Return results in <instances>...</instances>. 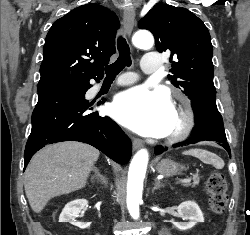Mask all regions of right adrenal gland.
<instances>
[{"mask_svg":"<svg viewBox=\"0 0 250 235\" xmlns=\"http://www.w3.org/2000/svg\"><path fill=\"white\" fill-rule=\"evenodd\" d=\"M94 174L91 176V182L94 184L95 181L100 182L105 188L108 186L107 178L102 175L97 167L93 168Z\"/></svg>","mask_w":250,"mask_h":235,"instance_id":"right-adrenal-gland-1","label":"right adrenal gland"}]
</instances>
